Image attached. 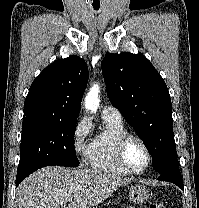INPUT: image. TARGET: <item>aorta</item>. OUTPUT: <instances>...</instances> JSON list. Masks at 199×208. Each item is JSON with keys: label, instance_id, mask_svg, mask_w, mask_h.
Listing matches in <instances>:
<instances>
[{"label": "aorta", "instance_id": "762f6f07", "mask_svg": "<svg viewBox=\"0 0 199 208\" xmlns=\"http://www.w3.org/2000/svg\"><path fill=\"white\" fill-rule=\"evenodd\" d=\"M99 91L100 87L97 84H94L85 97V108L88 111L94 112L97 110L99 106Z\"/></svg>", "mask_w": 199, "mask_h": 208}]
</instances>
